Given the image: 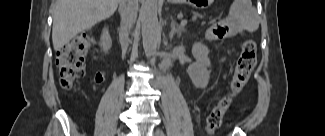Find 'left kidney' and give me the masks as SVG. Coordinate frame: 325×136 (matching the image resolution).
<instances>
[{
  "label": "left kidney",
  "instance_id": "obj_1",
  "mask_svg": "<svg viewBox=\"0 0 325 136\" xmlns=\"http://www.w3.org/2000/svg\"><path fill=\"white\" fill-rule=\"evenodd\" d=\"M209 50L207 46L201 42L194 43L192 46V54L196 62L189 65L187 73L196 88L205 89L209 83L211 66L208 58Z\"/></svg>",
  "mask_w": 325,
  "mask_h": 136
}]
</instances>
